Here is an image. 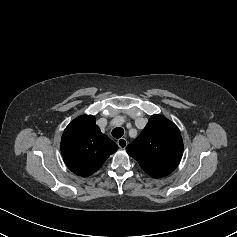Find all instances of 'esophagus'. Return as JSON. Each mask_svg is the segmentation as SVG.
I'll return each instance as SVG.
<instances>
[{
    "label": "esophagus",
    "instance_id": "esophagus-1",
    "mask_svg": "<svg viewBox=\"0 0 237 237\" xmlns=\"http://www.w3.org/2000/svg\"><path fill=\"white\" fill-rule=\"evenodd\" d=\"M117 144H118L119 148L125 149L127 146V140L125 138H120V139H118Z\"/></svg>",
    "mask_w": 237,
    "mask_h": 237
}]
</instances>
